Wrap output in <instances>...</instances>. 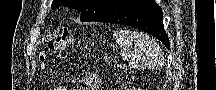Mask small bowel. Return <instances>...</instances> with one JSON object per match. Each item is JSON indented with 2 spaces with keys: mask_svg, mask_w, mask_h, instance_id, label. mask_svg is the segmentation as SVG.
I'll return each instance as SVG.
<instances>
[{
  "mask_svg": "<svg viewBox=\"0 0 216 90\" xmlns=\"http://www.w3.org/2000/svg\"><path fill=\"white\" fill-rule=\"evenodd\" d=\"M100 85L99 76L95 73L86 74L80 84V90H98ZM51 90H68L65 86H57Z\"/></svg>",
  "mask_w": 216,
  "mask_h": 90,
  "instance_id": "1",
  "label": "small bowel"
}]
</instances>
